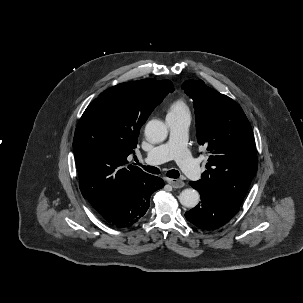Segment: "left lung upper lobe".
Returning <instances> with one entry per match:
<instances>
[{
	"instance_id": "obj_1",
	"label": "left lung upper lobe",
	"mask_w": 303,
	"mask_h": 303,
	"mask_svg": "<svg viewBox=\"0 0 303 303\" xmlns=\"http://www.w3.org/2000/svg\"><path fill=\"white\" fill-rule=\"evenodd\" d=\"M186 94L193 99L197 141L210 156L198 182L242 204L257 170V154L250 123L231 98L202 80H187Z\"/></svg>"
}]
</instances>
